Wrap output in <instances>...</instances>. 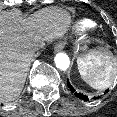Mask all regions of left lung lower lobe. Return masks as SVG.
Listing matches in <instances>:
<instances>
[{"label":"left lung lower lobe","mask_w":117,"mask_h":117,"mask_svg":"<svg viewBox=\"0 0 117 117\" xmlns=\"http://www.w3.org/2000/svg\"><path fill=\"white\" fill-rule=\"evenodd\" d=\"M67 85H68V87L70 88V90L73 92V93H75V95L78 97V98H80V99H82V100H85V101H88V97L86 96V95H83V94H81V93H77V92H75V89L72 87V85L70 84V82L67 80ZM108 92V90H106V93ZM97 98H100L99 96L98 97H94L93 99H97Z\"/></svg>","instance_id":"left-lung-lower-lobe-1"}]
</instances>
